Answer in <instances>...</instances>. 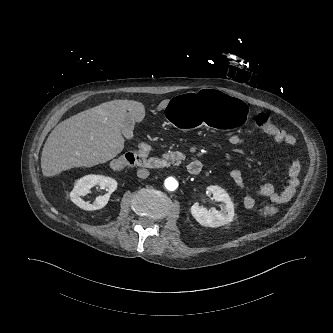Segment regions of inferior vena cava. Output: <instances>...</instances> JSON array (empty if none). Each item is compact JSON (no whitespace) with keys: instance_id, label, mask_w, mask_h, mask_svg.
Returning <instances> with one entry per match:
<instances>
[{"instance_id":"obj_1","label":"inferior vena cava","mask_w":333,"mask_h":333,"mask_svg":"<svg viewBox=\"0 0 333 333\" xmlns=\"http://www.w3.org/2000/svg\"><path fill=\"white\" fill-rule=\"evenodd\" d=\"M149 171L147 169H139L137 171V176L141 179H146L149 176Z\"/></svg>"}]
</instances>
